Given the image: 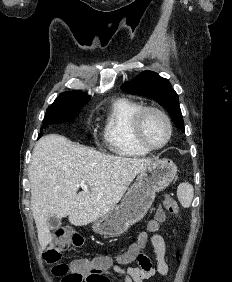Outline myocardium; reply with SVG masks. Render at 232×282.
Returning <instances> with one entry per match:
<instances>
[{"label": "myocardium", "mask_w": 232, "mask_h": 282, "mask_svg": "<svg viewBox=\"0 0 232 282\" xmlns=\"http://www.w3.org/2000/svg\"><path fill=\"white\" fill-rule=\"evenodd\" d=\"M155 113L163 118L168 128L166 140L160 145L150 144L143 135V121L147 114ZM132 132L136 142L148 151L160 150L166 147L173 136V125L171 119L165 111L155 106H142L134 115L132 120Z\"/></svg>", "instance_id": "f54148a6"}]
</instances>
